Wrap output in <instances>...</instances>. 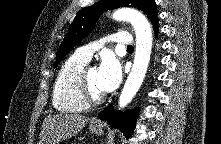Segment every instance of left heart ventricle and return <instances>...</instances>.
Masks as SVG:
<instances>
[{
  "label": "left heart ventricle",
  "instance_id": "obj_1",
  "mask_svg": "<svg viewBox=\"0 0 221 144\" xmlns=\"http://www.w3.org/2000/svg\"><path fill=\"white\" fill-rule=\"evenodd\" d=\"M97 78H98V70L95 68H90L88 70L89 85L94 93L99 94L102 93V91L98 87Z\"/></svg>",
  "mask_w": 221,
  "mask_h": 144
}]
</instances>
